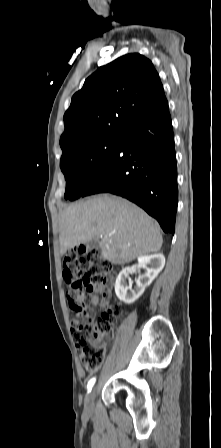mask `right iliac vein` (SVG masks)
<instances>
[{
  "label": "right iliac vein",
  "instance_id": "63e3f726",
  "mask_svg": "<svg viewBox=\"0 0 221 448\" xmlns=\"http://www.w3.org/2000/svg\"><path fill=\"white\" fill-rule=\"evenodd\" d=\"M95 397V389H93L85 398V409L90 412L93 408V400Z\"/></svg>",
  "mask_w": 221,
  "mask_h": 448
}]
</instances>
